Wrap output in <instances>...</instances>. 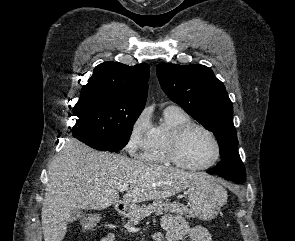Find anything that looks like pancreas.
<instances>
[{
    "label": "pancreas",
    "mask_w": 295,
    "mask_h": 241,
    "mask_svg": "<svg viewBox=\"0 0 295 241\" xmlns=\"http://www.w3.org/2000/svg\"><path fill=\"white\" fill-rule=\"evenodd\" d=\"M163 212L175 213L177 215H184L186 218L193 216L192 212L183 204L179 202H170L169 200H157L149 205H142L136 207L129 215V220L126 226H135L142 219L149 217L151 214L161 215Z\"/></svg>",
    "instance_id": "pancreas-1"
}]
</instances>
